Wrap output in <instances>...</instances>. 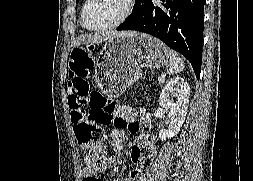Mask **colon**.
Returning <instances> with one entry per match:
<instances>
[{"label": "colon", "instance_id": "5ec220e1", "mask_svg": "<svg viewBox=\"0 0 253 181\" xmlns=\"http://www.w3.org/2000/svg\"><path fill=\"white\" fill-rule=\"evenodd\" d=\"M94 45L93 41L89 42ZM83 53L93 54L91 48H73L71 69L75 70ZM71 120L77 143L88 150L86 165L92 170H101L109 162V155L104 145L103 126L114 116L115 105L112 100L97 91L79 94L69 100Z\"/></svg>", "mask_w": 253, "mask_h": 181}]
</instances>
